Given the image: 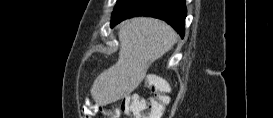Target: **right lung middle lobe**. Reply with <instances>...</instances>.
<instances>
[{"mask_svg": "<svg viewBox=\"0 0 273 118\" xmlns=\"http://www.w3.org/2000/svg\"><path fill=\"white\" fill-rule=\"evenodd\" d=\"M124 0H118L117 1V4H116V6H115V8L120 4V3H122Z\"/></svg>", "mask_w": 273, "mask_h": 118, "instance_id": "right-lung-middle-lobe-1", "label": "right lung middle lobe"}]
</instances>
